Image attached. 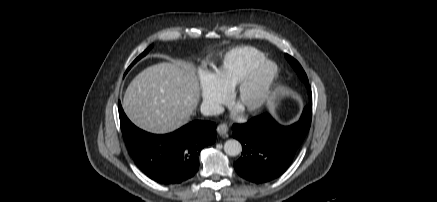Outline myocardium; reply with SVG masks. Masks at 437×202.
I'll list each match as a JSON object with an SVG mask.
<instances>
[{"mask_svg":"<svg viewBox=\"0 0 437 202\" xmlns=\"http://www.w3.org/2000/svg\"><path fill=\"white\" fill-rule=\"evenodd\" d=\"M266 69H269L270 72L263 80L255 100L250 104L240 105L245 94L257 83L261 74ZM278 74L279 69L275 62L267 59L258 62L234 87L232 103L239 108L243 115H252L259 112L268 102Z\"/></svg>","mask_w":437,"mask_h":202,"instance_id":"obj_1","label":"myocardium"}]
</instances>
